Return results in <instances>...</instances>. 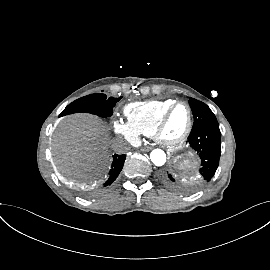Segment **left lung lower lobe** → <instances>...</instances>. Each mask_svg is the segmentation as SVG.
Segmentation results:
<instances>
[{
	"mask_svg": "<svg viewBox=\"0 0 270 270\" xmlns=\"http://www.w3.org/2000/svg\"><path fill=\"white\" fill-rule=\"evenodd\" d=\"M188 143L200 160L197 171L198 175L189 181H182L171 170L163 176L167 185L182 192L195 191L209 182L214 176L221 154V132L219 125H206L195 131H191L188 136Z\"/></svg>",
	"mask_w": 270,
	"mask_h": 270,
	"instance_id": "left-lung-lower-lobe-1",
	"label": "left lung lower lobe"
}]
</instances>
